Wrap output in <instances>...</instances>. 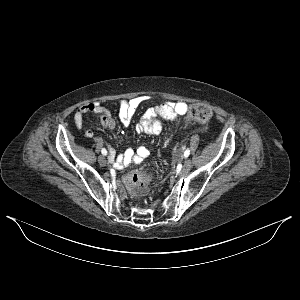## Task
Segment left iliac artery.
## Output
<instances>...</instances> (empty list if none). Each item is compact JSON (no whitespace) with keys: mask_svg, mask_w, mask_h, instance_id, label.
<instances>
[{"mask_svg":"<svg viewBox=\"0 0 300 300\" xmlns=\"http://www.w3.org/2000/svg\"><path fill=\"white\" fill-rule=\"evenodd\" d=\"M190 155V150L186 149L184 152V157L187 158Z\"/></svg>","mask_w":300,"mask_h":300,"instance_id":"1","label":"left iliac artery"}]
</instances>
